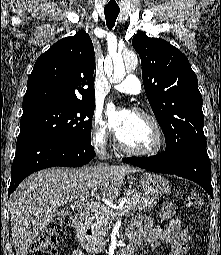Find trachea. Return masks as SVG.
Wrapping results in <instances>:
<instances>
[{
	"label": "trachea",
	"mask_w": 221,
	"mask_h": 255,
	"mask_svg": "<svg viewBox=\"0 0 221 255\" xmlns=\"http://www.w3.org/2000/svg\"><path fill=\"white\" fill-rule=\"evenodd\" d=\"M119 12H120V9H116V8L104 9L106 24L109 29H112L114 27Z\"/></svg>",
	"instance_id": "trachea-1"
}]
</instances>
